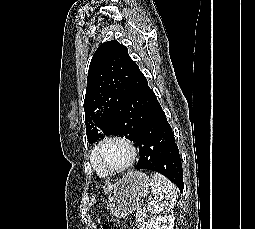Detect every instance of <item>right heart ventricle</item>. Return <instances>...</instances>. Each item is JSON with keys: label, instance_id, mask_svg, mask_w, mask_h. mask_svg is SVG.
Here are the masks:
<instances>
[{"label": "right heart ventricle", "instance_id": "obj_1", "mask_svg": "<svg viewBox=\"0 0 255 229\" xmlns=\"http://www.w3.org/2000/svg\"><path fill=\"white\" fill-rule=\"evenodd\" d=\"M92 163V162H91ZM95 172L97 175H99L100 177H105V176H108V174H106V172L99 166H96L94 164H92Z\"/></svg>", "mask_w": 255, "mask_h": 229}]
</instances>
